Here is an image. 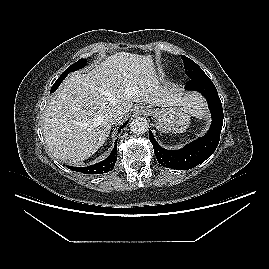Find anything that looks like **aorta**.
<instances>
[{
    "label": "aorta",
    "mask_w": 269,
    "mask_h": 269,
    "mask_svg": "<svg viewBox=\"0 0 269 269\" xmlns=\"http://www.w3.org/2000/svg\"><path fill=\"white\" fill-rule=\"evenodd\" d=\"M130 130L134 134H144L148 130V122L143 117H136L130 123Z\"/></svg>",
    "instance_id": "762f6f07"
}]
</instances>
